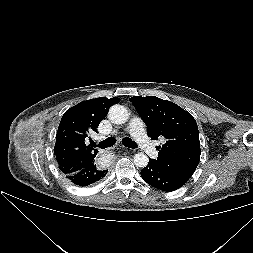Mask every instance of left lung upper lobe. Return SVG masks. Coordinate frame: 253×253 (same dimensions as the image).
<instances>
[{"label": "left lung upper lobe", "mask_w": 253, "mask_h": 253, "mask_svg": "<svg viewBox=\"0 0 253 253\" xmlns=\"http://www.w3.org/2000/svg\"><path fill=\"white\" fill-rule=\"evenodd\" d=\"M130 101L147 125V135L166 139L158 146L155 162L163 169L186 182L200 161L198 126L194 117L173 102L155 96H134Z\"/></svg>", "instance_id": "left-lung-upper-lobe-1"}]
</instances>
